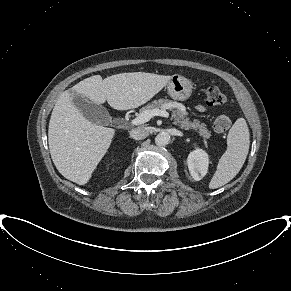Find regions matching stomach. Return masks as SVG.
Segmentation results:
<instances>
[{
  "label": "stomach",
  "mask_w": 291,
  "mask_h": 291,
  "mask_svg": "<svg viewBox=\"0 0 291 291\" xmlns=\"http://www.w3.org/2000/svg\"><path fill=\"white\" fill-rule=\"evenodd\" d=\"M170 97L178 101H186L192 94V83L184 76L175 74L167 83Z\"/></svg>",
  "instance_id": "stomach-1"
}]
</instances>
